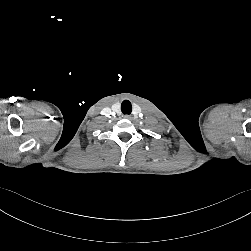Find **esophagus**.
Returning <instances> with one entry per match:
<instances>
[{"mask_svg":"<svg viewBox=\"0 0 251 251\" xmlns=\"http://www.w3.org/2000/svg\"><path fill=\"white\" fill-rule=\"evenodd\" d=\"M124 118H126V119H130V118H131V116H130V115H125V116H124Z\"/></svg>","mask_w":251,"mask_h":251,"instance_id":"1","label":"esophagus"}]
</instances>
